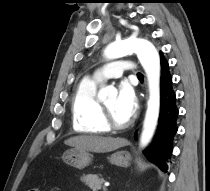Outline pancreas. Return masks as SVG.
Here are the masks:
<instances>
[{
    "label": "pancreas",
    "mask_w": 210,
    "mask_h": 191,
    "mask_svg": "<svg viewBox=\"0 0 210 191\" xmlns=\"http://www.w3.org/2000/svg\"><path fill=\"white\" fill-rule=\"evenodd\" d=\"M81 181L85 183L86 186H88L93 191L100 190L101 188H104L103 184L105 183V180L97 175H83L81 177Z\"/></svg>",
    "instance_id": "cf45deb5"
}]
</instances>
